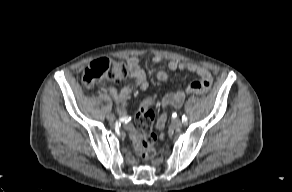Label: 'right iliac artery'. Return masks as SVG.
Returning a JSON list of instances; mask_svg holds the SVG:
<instances>
[{
    "label": "right iliac artery",
    "mask_w": 292,
    "mask_h": 192,
    "mask_svg": "<svg viewBox=\"0 0 292 192\" xmlns=\"http://www.w3.org/2000/svg\"><path fill=\"white\" fill-rule=\"evenodd\" d=\"M136 111H131V115L117 117V122L125 124L126 122H135Z\"/></svg>",
    "instance_id": "1"
}]
</instances>
